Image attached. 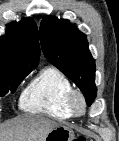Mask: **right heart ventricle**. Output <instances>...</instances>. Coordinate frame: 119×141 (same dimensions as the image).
I'll use <instances>...</instances> for the list:
<instances>
[{
    "label": "right heart ventricle",
    "mask_w": 119,
    "mask_h": 141,
    "mask_svg": "<svg viewBox=\"0 0 119 141\" xmlns=\"http://www.w3.org/2000/svg\"><path fill=\"white\" fill-rule=\"evenodd\" d=\"M73 89L69 78L55 67H45L30 83L21 98L23 109L57 120H67L71 113L66 96Z\"/></svg>",
    "instance_id": "e07e8e85"
}]
</instances>
